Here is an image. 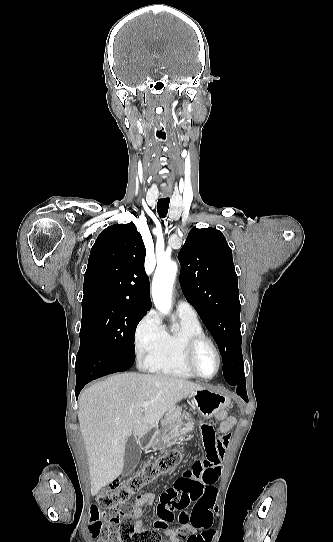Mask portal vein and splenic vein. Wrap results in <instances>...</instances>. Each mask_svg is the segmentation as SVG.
<instances>
[{
	"instance_id": "obj_1",
	"label": "portal vein and splenic vein",
	"mask_w": 333,
	"mask_h": 542,
	"mask_svg": "<svg viewBox=\"0 0 333 542\" xmlns=\"http://www.w3.org/2000/svg\"><path fill=\"white\" fill-rule=\"evenodd\" d=\"M150 402H143L142 408H148Z\"/></svg>"
}]
</instances>
